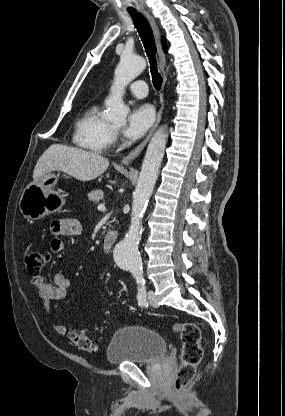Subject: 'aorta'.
<instances>
[{"instance_id":"1","label":"aorta","mask_w":285,"mask_h":416,"mask_svg":"<svg viewBox=\"0 0 285 416\" xmlns=\"http://www.w3.org/2000/svg\"><path fill=\"white\" fill-rule=\"evenodd\" d=\"M146 67L144 58L138 55H123L115 70L114 82L106 99L105 119L115 124H124L129 108L123 102L127 85ZM167 127H160L153 135L142 163L137 186L133 193L131 223L125 238L114 248L117 265L132 273L134 277L142 276V259L138 250L142 230V217L149 198L153 192L159 168L167 143Z\"/></svg>"}]
</instances>
